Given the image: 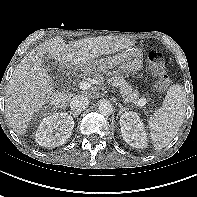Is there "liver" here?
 Segmentation results:
<instances>
[{
  "mask_svg": "<svg viewBox=\"0 0 197 197\" xmlns=\"http://www.w3.org/2000/svg\"><path fill=\"white\" fill-rule=\"evenodd\" d=\"M135 40L114 36L83 38L70 44L57 36L45 41L27 54L15 68L7 85L5 114L11 128L24 135L33 115L45 103L54 109H64L72 94L54 90L45 70L43 57L48 55L62 67L85 69L95 58L128 49Z\"/></svg>",
  "mask_w": 197,
  "mask_h": 197,
  "instance_id": "6515ba94",
  "label": "liver"
}]
</instances>
